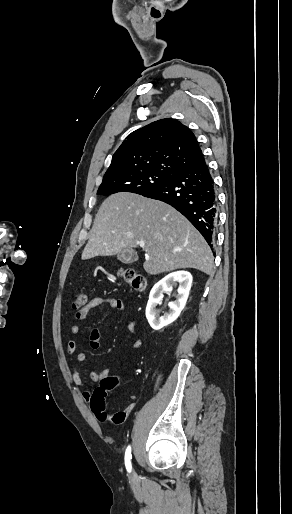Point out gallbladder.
Listing matches in <instances>:
<instances>
[{"mask_svg":"<svg viewBox=\"0 0 292 514\" xmlns=\"http://www.w3.org/2000/svg\"><path fill=\"white\" fill-rule=\"evenodd\" d=\"M117 258H118V260H121V258H122L121 254H118ZM133 260H138L137 254H134Z\"/></svg>","mask_w":292,"mask_h":514,"instance_id":"obj_1","label":"gallbladder"}]
</instances>
